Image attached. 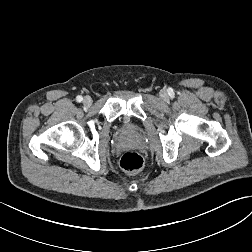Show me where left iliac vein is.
<instances>
[{"mask_svg":"<svg viewBox=\"0 0 252 252\" xmlns=\"http://www.w3.org/2000/svg\"><path fill=\"white\" fill-rule=\"evenodd\" d=\"M160 95H161L162 99H164V100H166L168 98V95L165 91H161Z\"/></svg>","mask_w":252,"mask_h":252,"instance_id":"left-iliac-vein-1","label":"left iliac vein"}]
</instances>
